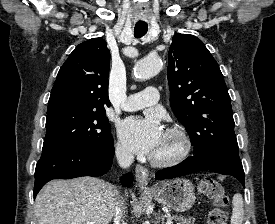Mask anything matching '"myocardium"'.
Returning <instances> with one entry per match:
<instances>
[{
  "mask_svg": "<svg viewBox=\"0 0 275 224\" xmlns=\"http://www.w3.org/2000/svg\"><path fill=\"white\" fill-rule=\"evenodd\" d=\"M165 135L175 142L174 150L164 156L152 155L150 161L156 166H171L183 161L191 150V139L186 130L178 125L169 126Z\"/></svg>",
  "mask_w": 275,
  "mask_h": 224,
  "instance_id": "1",
  "label": "myocardium"
}]
</instances>
